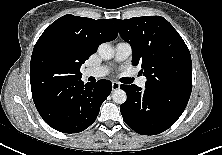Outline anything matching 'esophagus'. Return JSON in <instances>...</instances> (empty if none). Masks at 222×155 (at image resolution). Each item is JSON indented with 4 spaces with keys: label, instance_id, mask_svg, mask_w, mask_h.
<instances>
[{
    "label": "esophagus",
    "instance_id": "esophagus-1",
    "mask_svg": "<svg viewBox=\"0 0 222 155\" xmlns=\"http://www.w3.org/2000/svg\"><path fill=\"white\" fill-rule=\"evenodd\" d=\"M120 88V84L118 82H112V89L113 90H118Z\"/></svg>",
    "mask_w": 222,
    "mask_h": 155
}]
</instances>
